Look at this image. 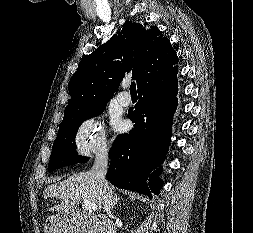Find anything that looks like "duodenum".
Returning <instances> with one entry per match:
<instances>
[{
	"label": "duodenum",
	"instance_id": "1",
	"mask_svg": "<svg viewBox=\"0 0 253 233\" xmlns=\"http://www.w3.org/2000/svg\"><path fill=\"white\" fill-rule=\"evenodd\" d=\"M87 233H110L113 231L111 223L105 221L100 216H95L86 226Z\"/></svg>",
	"mask_w": 253,
	"mask_h": 233
}]
</instances>
